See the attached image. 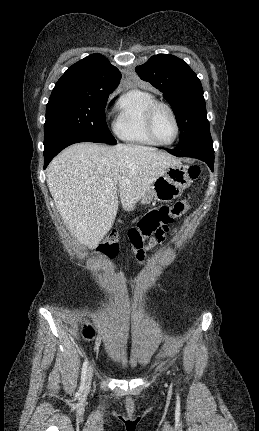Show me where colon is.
<instances>
[{
    "label": "colon",
    "instance_id": "1",
    "mask_svg": "<svg viewBox=\"0 0 259 431\" xmlns=\"http://www.w3.org/2000/svg\"><path fill=\"white\" fill-rule=\"evenodd\" d=\"M188 177L196 180L200 175V167L191 165L187 169ZM189 209V203L185 200L176 201L173 205H161L149 210L144 214L137 224L128 230L127 236L132 245L133 252L137 260L142 263L145 258V252L156 242L163 243L168 234L173 233L172 222L176 217L182 219ZM146 239H150L146 243ZM119 233L117 230H111L103 242L99 245L97 252L107 258H113L119 250ZM82 334L85 338L91 339L95 332L90 324L82 327Z\"/></svg>",
    "mask_w": 259,
    "mask_h": 431
}]
</instances>
